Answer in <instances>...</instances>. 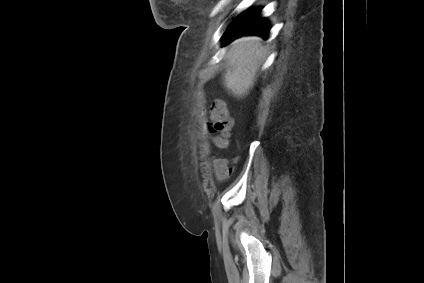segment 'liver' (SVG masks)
<instances>
[{"mask_svg":"<svg viewBox=\"0 0 424 283\" xmlns=\"http://www.w3.org/2000/svg\"><path fill=\"white\" fill-rule=\"evenodd\" d=\"M265 54L266 49L261 46L258 37H242L233 41L226 56L230 67L223 76V84L228 91L238 98L245 97L255 84Z\"/></svg>","mask_w":424,"mask_h":283,"instance_id":"6515ba94","label":"liver"}]
</instances>
